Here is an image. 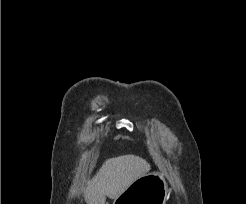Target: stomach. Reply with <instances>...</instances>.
I'll return each instance as SVG.
<instances>
[{"instance_id": "1", "label": "stomach", "mask_w": 246, "mask_h": 204, "mask_svg": "<svg viewBox=\"0 0 246 204\" xmlns=\"http://www.w3.org/2000/svg\"><path fill=\"white\" fill-rule=\"evenodd\" d=\"M168 187L163 176L148 173L135 180L113 204H165Z\"/></svg>"}]
</instances>
